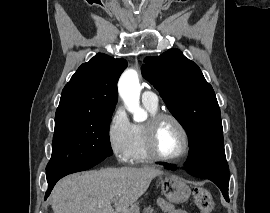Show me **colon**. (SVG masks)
<instances>
[{"mask_svg":"<svg viewBox=\"0 0 270 213\" xmlns=\"http://www.w3.org/2000/svg\"><path fill=\"white\" fill-rule=\"evenodd\" d=\"M194 203L202 213H210L214 208V200L209 191L198 188L193 193Z\"/></svg>","mask_w":270,"mask_h":213,"instance_id":"5ec220e1","label":"colon"}]
</instances>
